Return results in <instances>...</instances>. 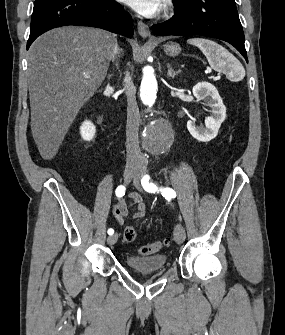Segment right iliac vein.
<instances>
[{
	"label": "right iliac vein",
	"instance_id": "right-iliac-vein-1",
	"mask_svg": "<svg viewBox=\"0 0 285 335\" xmlns=\"http://www.w3.org/2000/svg\"><path fill=\"white\" fill-rule=\"evenodd\" d=\"M123 176H124L125 182L128 183L132 178L137 177L138 174L134 169L126 168L125 171H124ZM117 239H118V235L116 233L114 235L109 236L108 239H107V242L110 245H113V244L116 243Z\"/></svg>",
	"mask_w": 285,
	"mask_h": 335
}]
</instances>
